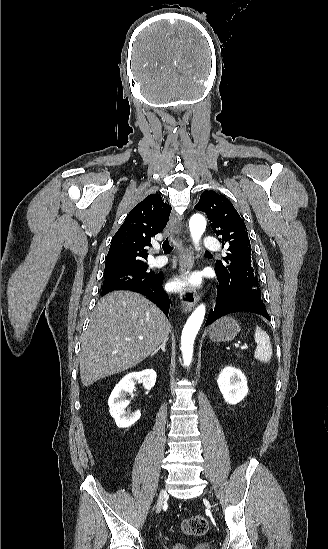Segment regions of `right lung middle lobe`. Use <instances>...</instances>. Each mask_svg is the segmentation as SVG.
I'll use <instances>...</instances> for the list:
<instances>
[{
    "instance_id": "obj_1",
    "label": "right lung middle lobe",
    "mask_w": 328,
    "mask_h": 549,
    "mask_svg": "<svg viewBox=\"0 0 328 549\" xmlns=\"http://www.w3.org/2000/svg\"><path fill=\"white\" fill-rule=\"evenodd\" d=\"M158 275L148 269V265L129 267L111 272H104L102 295L113 290H127L132 287L149 286Z\"/></svg>"
}]
</instances>
